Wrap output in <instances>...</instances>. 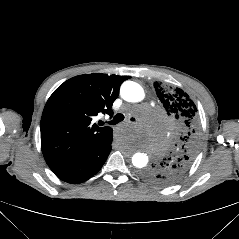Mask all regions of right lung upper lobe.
I'll list each match as a JSON object with an SVG mask.
<instances>
[{
  "mask_svg": "<svg viewBox=\"0 0 239 239\" xmlns=\"http://www.w3.org/2000/svg\"><path fill=\"white\" fill-rule=\"evenodd\" d=\"M130 76L89 74L73 77L48 99L41 118V149L50 169L88 151L111 127H98L92 118L112 115V104Z\"/></svg>",
  "mask_w": 239,
  "mask_h": 239,
  "instance_id": "obj_1",
  "label": "right lung upper lobe"
}]
</instances>
